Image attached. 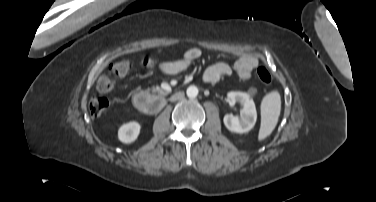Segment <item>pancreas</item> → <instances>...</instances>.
Returning <instances> with one entry per match:
<instances>
[{
  "label": "pancreas",
  "mask_w": 376,
  "mask_h": 202,
  "mask_svg": "<svg viewBox=\"0 0 376 202\" xmlns=\"http://www.w3.org/2000/svg\"><path fill=\"white\" fill-rule=\"evenodd\" d=\"M151 92L152 93H158V94H161V95L165 94V92L160 87H158V86L152 87L151 88Z\"/></svg>",
  "instance_id": "pancreas-1"
}]
</instances>
